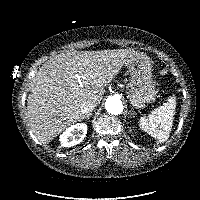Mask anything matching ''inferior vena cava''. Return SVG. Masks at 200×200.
Wrapping results in <instances>:
<instances>
[{
  "mask_svg": "<svg viewBox=\"0 0 200 200\" xmlns=\"http://www.w3.org/2000/svg\"><path fill=\"white\" fill-rule=\"evenodd\" d=\"M95 106L96 105L94 104V102H92L91 100H86L81 105V109H80L81 113L88 114L93 111Z\"/></svg>",
  "mask_w": 200,
  "mask_h": 200,
  "instance_id": "602c4592",
  "label": "inferior vena cava"
}]
</instances>
